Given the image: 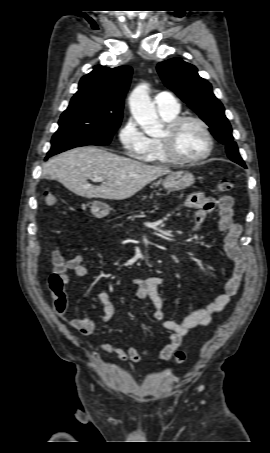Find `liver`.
<instances>
[{
    "instance_id": "liver-1",
    "label": "liver",
    "mask_w": 270,
    "mask_h": 453,
    "mask_svg": "<svg viewBox=\"0 0 270 453\" xmlns=\"http://www.w3.org/2000/svg\"><path fill=\"white\" fill-rule=\"evenodd\" d=\"M171 173L165 166H151L93 147H78L52 157L43 174L57 179L71 192L85 198L124 200L160 176ZM103 177L100 186L89 178Z\"/></svg>"
}]
</instances>
